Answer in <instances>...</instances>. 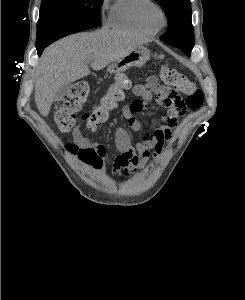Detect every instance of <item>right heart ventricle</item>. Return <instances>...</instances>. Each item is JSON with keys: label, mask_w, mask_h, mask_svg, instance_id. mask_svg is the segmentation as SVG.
I'll list each match as a JSON object with an SVG mask.
<instances>
[{"label": "right heart ventricle", "mask_w": 245, "mask_h": 300, "mask_svg": "<svg viewBox=\"0 0 245 300\" xmlns=\"http://www.w3.org/2000/svg\"><path fill=\"white\" fill-rule=\"evenodd\" d=\"M151 0H114L109 13V25L119 31L152 36L156 31L142 21V10Z\"/></svg>", "instance_id": "e07e8e85"}]
</instances>
